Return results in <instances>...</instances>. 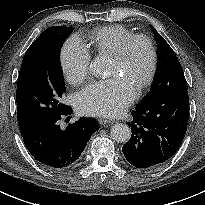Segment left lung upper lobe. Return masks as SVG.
<instances>
[{
  "mask_svg": "<svg viewBox=\"0 0 205 205\" xmlns=\"http://www.w3.org/2000/svg\"><path fill=\"white\" fill-rule=\"evenodd\" d=\"M158 44L157 73L149 94L141 102H147L157 96L174 93L177 88L187 84L179 60L165 39L153 28Z\"/></svg>",
  "mask_w": 205,
  "mask_h": 205,
  "instance_id": "1",
  "label": "left lung upper lobe"
}]
</instances>
